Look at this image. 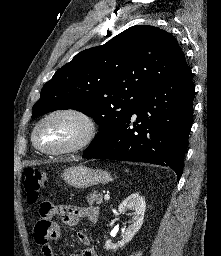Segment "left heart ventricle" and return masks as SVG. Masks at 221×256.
<instances>
[{
  "instance_id": "b2bd125f",
  "label": "left heart ventricle",
  "mask_w": 221,
  "mask_h": 256,
  "mask_svg": "<svg viewBox=\"0 0 221 256\" xmlns=\"http://www.w3.org/2000/svg\"><path fill=\"white\" fill-rule=\"evenodd\" d=\"M83 130L79 120L58 116L45 122L37 134L38 143L45 148H60L75 142Z\"/></svg>"
}]
</instances>
